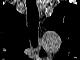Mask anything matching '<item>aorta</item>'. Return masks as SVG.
I'll return each instance as SVG.
<instances>
[{"mask_svg":"<svg viewBox=\"0 0 80 60\" xmlns=\"http://www.w3.org/2000/svg\"><path fill=\"white\" fill-rule=\"evenodd\" d=\"M45 41L48 49L58 51L61 46V38L56 33L45 35Z\"/></svg>","mask_w":80,"mask_h":60,"instance_id":"aorta-1","label":"aorta"}]
</instances>
